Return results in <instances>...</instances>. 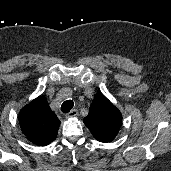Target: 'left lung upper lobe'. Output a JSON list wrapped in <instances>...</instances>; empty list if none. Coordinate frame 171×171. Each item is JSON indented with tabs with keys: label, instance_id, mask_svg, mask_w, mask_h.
I'll return each instance as SVG.
<instances>
[{
	"label": "left lung upper lobe",
	"instance_id": "left-lung-upper-lobe-1",
	"mask_svg": "<svg viewBox=\"0 0 171 171\" xmlns=\"http://www.w3.org/2000/svg\"><path fill=\"white\" fill-rule=\"evenodd\" d=\"M83 122L98 141L110 142L119 132L122 115L101 92H98Z\"/></svg>",
	"mask_w": 171,
	"mask_h": 171
}]
</instances>
